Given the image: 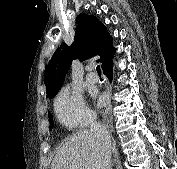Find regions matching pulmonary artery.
Listing matches in <instances>:
<instances>
[{
  "instance_id": "e3ab8cb5",
  "label": "pulmonary artery",
  "mask_w": 177,
  "mask_h": 169,
  "mask_svg": "<svg viewBox=\"0 0 177 169\" xmlns=\"http://www.w3.org/2000/svg\"><path fill=\"white\" fill-rule=\"evenodd\" d=\"M94 70V66L91 64L88 67V72L86 74V80L89 83H96L98 82V75L93 71Z\"/></svg>"
}]
</instances>
